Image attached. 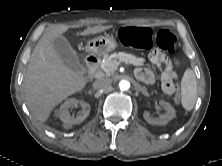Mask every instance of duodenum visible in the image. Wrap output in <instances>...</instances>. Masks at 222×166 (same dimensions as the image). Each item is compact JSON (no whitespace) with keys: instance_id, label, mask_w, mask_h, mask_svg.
Masks as SVG:
<instances>
[{"instance_id":"duodenum-1","label":"duodenum","mask_w":222,"mask_h":166,"mask_svg":"<svg viewBox=\"0 0 222 166\" xmlns=\"http://www.w3.org/2000/svg\"><path fill=\"white\" fill-rule=\"evenodd\" d=\"M85 62L89 70V77L93 79L100 63L99 58L93 54H88L85 58Z\"/></svg>"}]
</instances>
